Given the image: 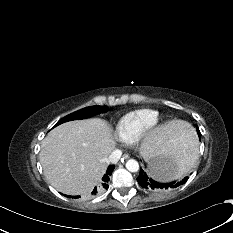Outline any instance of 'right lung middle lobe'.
<instances>
[{
  "label": "right lung middle lobe",
  "instance_id": "dd1d6c3e",
  "mask_svg": "<svg viewBox=\"0 0 233 233\" xmlns=\"http://www.w3.org/2000/svg\"><path fill=\"white\" fill-rule=\"evenodd\" d=\"M108 109L107 106H93V107H88L85 109H82L78 112L72 113L70 115L65 116L61 120L57 122V125L62 124L64 122L72 121V120H78V119H85L91 116H94L96 114L104 113ZM54 126V127H55Z\"/></svg>",
  "mask_w": 233,
  "mask_h": 233
}]
</instances>
